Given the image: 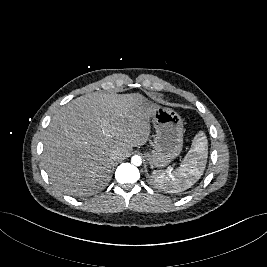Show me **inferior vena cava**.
Returning a JSON list of instances; mask_svg holds the SVG:
<instances>
[{"label": "inferior vena cava", "mask_w": 267, "mask_h": 267, "mask_svg": "<svg viewBox=\"0 0 267 267\" xmlns=\"http://www.w3.org/2000/svg\"><path fill=\"white\" fill-rule=\"evenodd\" d=\"M121 152L119 150H114L111 153V159L116 161V160H120L121 159Z\"/></svg>", "instance_id": "602c4592"}]
</instances>
